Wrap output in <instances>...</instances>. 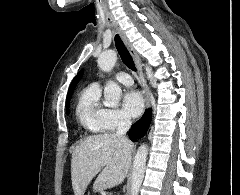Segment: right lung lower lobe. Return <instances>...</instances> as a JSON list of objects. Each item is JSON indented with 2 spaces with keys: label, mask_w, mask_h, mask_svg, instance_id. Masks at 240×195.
Here are the masks:
<instances>
[{
  "label": "right lung lower lobe",
  "mask_w": 240,
  "mask_h": 195,
  "mask_svg": "<svg viewBox=\"0 0 240 195\" xmlns=\"http://www.w3.org/2000/svg\"><path fill=\"white\" fill-rule=\"evenodd\" d=\"M151 116H152L151 110L149 109L145 112L143 117L131 127L129 133L131 140L136 141L137 138H141L145 134L150 124ZM138 131L139 134H137L136 136L135 133H137Z\"/></svg>",
  "instance_id": "98d812e1"
}]
</instances>
